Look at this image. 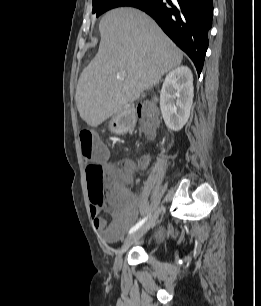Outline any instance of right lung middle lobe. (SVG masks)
I'll use <instances>...</instances> for the list:
<instances>
[{
  "label": "right lung middle lobe",
  "mask_w": 261,
  "mask_h": 306,
  "mask_svg": "<svg viewBox=\"0 0 261 306\" xmlns=\"http://www.w3.org/2000/svg\"><path fill=\"white\" fill-rule=\"evenodd\" d=\"M137 1L138 0H92V13H96L97 16H99L112 8L120 6H131Z\"/></svg>",
  "instance_id": "right-lung-middle-lobe-1"
}]
</instances>
